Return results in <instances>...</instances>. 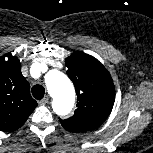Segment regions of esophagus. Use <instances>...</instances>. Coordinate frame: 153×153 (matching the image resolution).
<instances>
[{
	"instance_id": "34e87169",
	"label": "esophagus",
	"mask_w": 153,
	"mask_h": 153,
	"mask_svg": "<svg viewBox=\"0 0 153 153\" xmlns=\"http://www.w3.org/2000/svg\"><path fill=\"white\" fill-rule=\"evenodd\" d=\"M48 101H49V97L46 96V97H44L43 99H41L38 103H39L40 105H45V104L48 103Z\"/></svg>"
}]
</instances>
